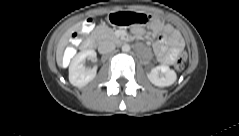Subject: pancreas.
<instances>
[{"label": "pancreas", "mask_w": 239, "mask_h": 136, "mask_svg": "<svg viewBox=\"0 0 239 136\" xmlns=\"http://www.w3.org/2000/svg\"><path fill=\"white\" fill-rule=\"evenodd\" d=\"M96 34H97L98 38H100V39H114L115 38L114 32L105 26L98 27L96 30Z\"/></svg>", "instance_id": "obj_1"}]
</instances>
